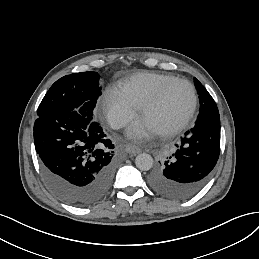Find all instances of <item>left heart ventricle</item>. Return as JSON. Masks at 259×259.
<instances>
[{
    "instance_id": "left-heart-ventricle-1",
    "label": "left heart ventricle",
    "mask_w": 259,
    "mask_h": 259,
    "mask_svg": "<svg viewBox=\"0 0 259 259\" xmlns=\"http://www.w3.org/2000/svg\"><path fill=\"white\" fill-rule=\"evenodd\" d=\"M192 100L187 84L178 81L164 93L161 101L140 116L141 123H146L157 134L170 128L189 108Z\"/></svg>"
}]
</instances>
